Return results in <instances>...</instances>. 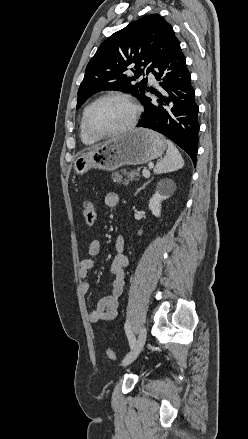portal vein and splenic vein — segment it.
<instances>
[{"label":"portal vein and splenic vein","mask_w":248,"mask_h":439,"mask_svg":"<svg viewBox=\"0 0 248 439\" xmlns=\"http://www.w3.org/2000/svg\"><path fill=\"white\" fill-rule=\"evenodd\" d=\"M142 173H143V176H144V177H150V171H149V170L144 169V170L142 171Z\"/></svg>","instance_id":"1"}]
</instances>
